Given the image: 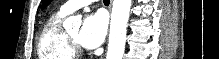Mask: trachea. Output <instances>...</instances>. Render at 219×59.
Wrapping results in <instances>:
<instances>
[{
    "instance_id": "3493384b",
    "label": "trachea",
    "mask_w": 219,
    "mask_h": 59,
    "mask_svg": "<svg viewBox=\"0 0 219 59\" xmlns=\"http://www.w3.org/2000/svg\"><path fill=\"white\" fill-rule=\"evenodd\" d=\"M104 3H108V4H109V3H110V0H104Z\"/></svg>"
}]
</instances>
